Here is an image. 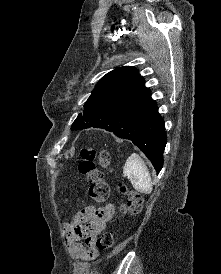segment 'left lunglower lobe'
I'll list each match as a JSON object with an SVG mask.
<instances>
[{"label": "left lung lower lobe", "mask_w": 221, "mask_h": 274, "mask_svg": "<svg viewBox=\"0 0 221 274\" xmlns=\"http://www.w3.org/2000/svg\"><path fill=\"white\" fill-rule=\"evenodd\" d=\"M93 113L97 122L87 128H103L119 138L131 140L152 162L156 172H160L167 139L164 120L150 89L146 88L135 99L109 103Z\"/></svg>", "instance_id": "1"}]
</instances>
